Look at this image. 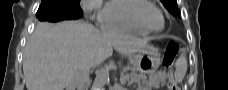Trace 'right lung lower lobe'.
<instances>
[{"instance_id": "1", "label": "right lung lower lobe", "mask_w": 228, "mask_h": 90, "mask_svg": "<svg viewBox=\"0 0 228 90\" xmlns=\"http://www.w3.org/2000/svg\"><path fill=\"white\" fill-rule=\"evenodd\" d=\"M36 16L41 21L58 22L61 20L78 19L82 16V14L78 17H70L67 14L62 13L51 3H41Z\"/></svg>"}]
</instances>
